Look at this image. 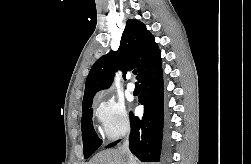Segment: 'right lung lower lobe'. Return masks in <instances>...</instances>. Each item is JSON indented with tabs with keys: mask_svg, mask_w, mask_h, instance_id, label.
<instances>
[{
	"mask_svg": "<svg viewBox=\"0 0 251 164\" xmlns=\"http://www.w3.org/2000/svg\"><path fill=\"white\" fill-rule=\"evenodd\" d=\"M142 88L139 103L145 112L141 119L130 113V150L142 162H159L163 138V74L161 64L139 80ZM116 143L107 147H112Z\"/></svg>",
	"mask_w": 251,
	"mask_h": 164,
	"instance_id": "1",
	"label": "right lung lower lobe"
}]
</instances>
